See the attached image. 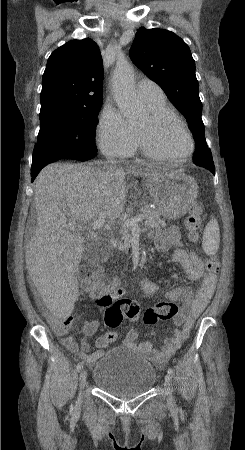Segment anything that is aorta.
I'll list each match as a JSON object with an SVG mask.
<instances>
[{
	"instance_id": "obj_1",
	"label": "aorta",
	"mask_w": 245,
	"mask_h": 450,
	"mask_svg": "<svg viewBox=\"0 0 245 450\" xmlns=\"http://www.w3.org/2000/svg\"><path fill=\"white\" fill-rule=\"evenodd\" d=\"M135 74L127 62L117 65L113 75V93L116 104L130 124H137L144 117V109L135 93Z\"/></svg>"
}]
</instances>
